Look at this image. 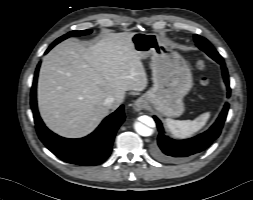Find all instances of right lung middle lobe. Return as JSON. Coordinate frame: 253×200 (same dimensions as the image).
<instances>
[{"instance_id":"right-lung-middle-lobe-1","label":"right lung middle lobe","mask_w":253,"mask_h":200,"mask_svg":"<svg viewBox=\"0 0 253 200\" xmlns=\"http://www.w3.org/2000/svg\"><path fill=\"white\" fill-rule=\"evenodd\" d=\"M91 33V30H82V31H71L65 35H63L62 37L58 38L56 41H54L55 44L61 42L62 40L71 37V36H80V35H86Z\"/></svg>"}]
</instances>
